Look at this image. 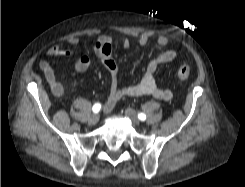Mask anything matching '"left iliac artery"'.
<instances>
[{"label":"left iliac artery","mask_w":245,"mask_h":187,"mask_svg":"<svg viewBox=\"0 0 245 187\" xmlns=\"http://www.w3.org/2000/svg\"><path fill=\"white\" fill-rule=\"evenodd\" d=\"M138 118L141 120V121H145L146 120V115L144 113H139L138 114Z\"/></svg>","instance_id":"left-iliac-artery-1"}]
</instances>
